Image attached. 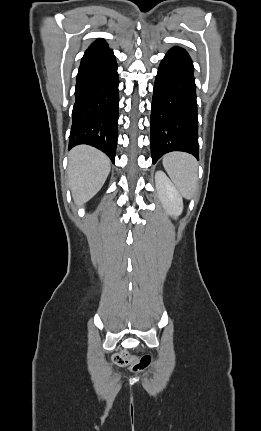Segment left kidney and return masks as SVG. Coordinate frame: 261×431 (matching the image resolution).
Listing matches in <instances>:
<instances>
[{"mask_svg": "<svg viewBox=\"0 0 261 431\" xmlns=\"http://www.w3.org/2000/svg\"><path fill=\"white\" fill-rule=\"evenodd\" d=\"M156 188L166 212L173 217H178L183 211V200L172 182L162 171L155 174Z\"/></svg>", "mask_w": 261, "mask_h": 431, "instance_id": "left-kidney-1", "label": "left kidney"}]
</instances>
